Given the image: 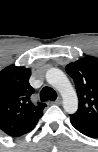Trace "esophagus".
<instances>
[{"instance_id": "1", "label": "esophagus", "mask_w": 98, "mask_h": 152, "mask_svg": "<svg viewBox=\"0 0 98 152\" xmlns=\"http://www.w3.org/2000/svg\"><path fill=\"white\" fill-rule=\"evenodd\" d=\"M52 104L60 105L62 103L61 98H57L55 101L51 102Z\"/></svg>"}]
</instances>
